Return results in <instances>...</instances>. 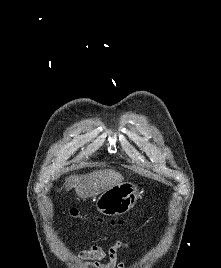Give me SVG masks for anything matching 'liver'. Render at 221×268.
Returning a JSON list of instances; mask_svg holds the SVG:
<instances>
[{
    "label": "liver",
    "mask_w": 221,
    "mask_h": 268,
    "mask_svg": "<svg viewBox=\"0 0 221 268\" xmlns=\"http://www.w3.org/2000/svg\"><path fill=\"white\" fill-rule=\"evenodd\" d=\"M124 177L112 169L96 170L89 174L71 175L65 180L62 188L75 189L78 197L86 199L95 197L114 185L122 183Z\"/></svg>",
    "instance_id": "1"
}]
</instances>
